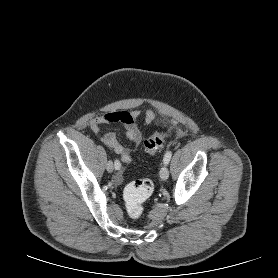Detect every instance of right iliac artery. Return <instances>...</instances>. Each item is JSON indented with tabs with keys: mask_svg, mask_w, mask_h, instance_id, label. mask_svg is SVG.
<instances>
[{
	"mask_svg": "<svg viewBox=\"0 0 278 278\" xmlns=\"http://www.w3.org/2000/svg\"><path fill=\"white\" fill-rule=\"evenodd\" d=\"M114 167H115L116 170H119L121 168V164H120V162L118 160H116L114 162Z\"/></svg>",
	"mask_w": 278,
	"mask_h": 278,
	"instance_id": "right-iliac-artery-1",
	"label": "right iliac artery"
}]
</instances>
